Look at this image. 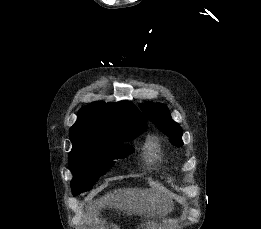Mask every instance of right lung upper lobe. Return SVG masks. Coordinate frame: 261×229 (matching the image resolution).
<instances>
[{"instance_id": "obj_1", "label": "right lung upper lobe", "mask_w": 261, "mask_h": 229, "mask_svg": "<svg viewBox=\"0 0 261 229\" xmlns=\"http://www.w3.org/2000/svg\"><path fill=\"white\" fill-rule=\"evenodd\" d=\"M129 124L147 126L145 118L133 103L97 101L79 110L78 119L70 128L69 136L73 146L122 144L115 129Z\"/></svg>"}]
</instances>
